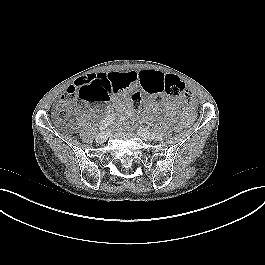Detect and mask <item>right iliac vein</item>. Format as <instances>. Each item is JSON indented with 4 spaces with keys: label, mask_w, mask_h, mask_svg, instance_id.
I'll return each mask as SVG.
<instances>
[{
    "label": "right iliac vein",
    "mask_w": 265,
    "mask_h": 265,
    "mask_svg": "<svg viewBox=\"0 0 265 265\" xmlns=\"http://www.w3.org/2000/svg\"><path fill=\"white\" fill-rule=\"evenodd\" d=\"M106 140H107V135H106V133H104V132L99 133V134L97 135V137H96V141H97L98 143H104Z\"/></svg>",
    "instance_id": "63e3f726"
}]
</instances>
